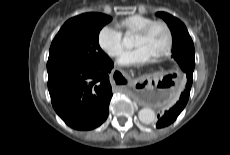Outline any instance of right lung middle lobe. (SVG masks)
I'll use <instances>...</instances> for the list:
<instances>
[{"label":"right lung middle lobe","mask_w":230,"mask_h":155,"mask_svg":"<svg viewBox=\"0 0 230 155\" xmlns=\"http://www.w3.org/2000/svg\"><path fill=\"white\" fill-rule=\"evenodd\" d=\"M110 16L91 13L68 20L52 41L47 69L57 66L100 65L110 60L98 43L99 32Z\"/></svg>","instance_id":"right-lung-middle-lobe-1"}]
</instances>
